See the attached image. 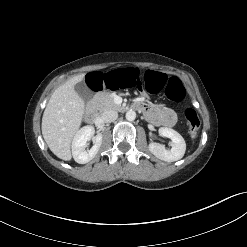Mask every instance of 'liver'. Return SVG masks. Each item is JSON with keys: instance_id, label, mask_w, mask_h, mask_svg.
Segmentation results:
<instances>
[{"instance_id": "6515ba94", "label": "liver", "mask_w": 247, "mask_h": 247, "mask_svg": "<svg viewBox=\"0 0 247 247\" xmlns=\"http://www.w3.org/2000/svg\"><path fill=\"white\" fill-rule=\"evenodd\" d=\"M84 74L74 76L51 95L42 117V135L50 150L60 159L69 161L71 142L78 132L85 103L75 91Z\"/></svg>"}]
</instances>
